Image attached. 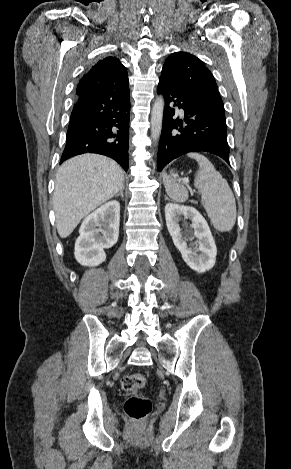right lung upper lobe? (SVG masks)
<instances>
[{"instance_id":"obj_1","label":"right lung upper lobe","mask_w":291,"mask_h":469,"mask_svg":"<svg viewBox=\"0 0 291 469\" xmlns=\"http://www.w3.org/2000/svg\"><path fill=\"white\" fill-rule=\"evenodd\" d=\"M129 80L126 68L116 57H106L99 60L81 78L76 95L77 98L98 93L105 90L129 92Z\"/></svg>"}]
</instances>
